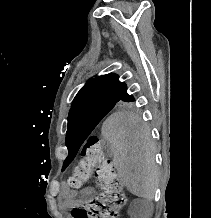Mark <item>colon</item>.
<instances>
[{
  "label": "colon",
  "instance_id": "5ec220e1",
  "mask_svg": "<svg viewBox=\"0 0 211 218\" xmlns=\"http://www.w3.org/2000/svg\"><path fill=\"white\" fill-rule=\"evenodd\" d=\"M94 180L99 194L88 204L72 210L74 218H117L126 204L122 182L115 165L103 151L97 136L88 137L82 147L78 164L69 179V185L80 189Z\"/></svg>",
  "mask_w": 211,
  "mask_h": 218
}]
</instances>
